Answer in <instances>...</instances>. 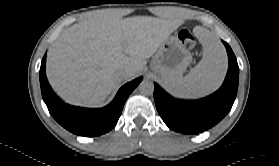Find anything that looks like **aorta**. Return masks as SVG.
<instances>
[{
  "mask_svg": "<svg viewBox=\"0 0 279 166\" xmlns=\"http://www.w3.org/2000/svg\"><path fill=\"white\" fill-rule=\"evenodd\" d=\"M139 91L141 94L150 95L154 91V84L150 80L145 79L139 84Z\"/></svg>",
  "mask_w": 279,
  "mask_h": 166,
  "instance_id": "aorta-1",
  "label": "aorta"
}]
</instances>
